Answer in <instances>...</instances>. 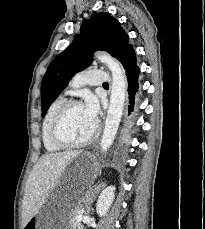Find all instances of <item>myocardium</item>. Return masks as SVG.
Here are the masks:
<instances>
[{"label": "myocardium", "instance_id": "obj_1", "mask_svg": "<svg viewBox=\"0 0 205 229\" xmlns=\"http://www.w3.org/2000/svg\"><path fill=\"white\" fill-rule=\"evenodd\" d=\"M80 105H82V103L78 100L65 101L60 106V108L57 110L53 118L51 129H50V137H51V140L56 145L60 146L61 148H77V147L86 146L89 143H91L99 134L100 125H99V122L96 121L93 132L87 138L81 141H68V140L63 139L60 136V127H61L62 121L66 113L68 112L70 108L75 107V106H80Z\"/></svg>", "mask_w": 205, "mask_h": 229}]
</instances>
